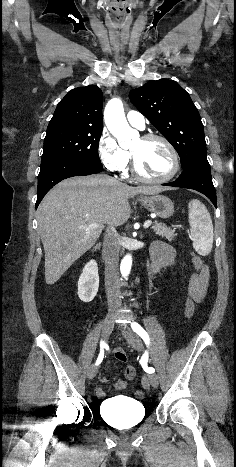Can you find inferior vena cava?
Masks as SVG:
<instances>
[{
    "label": "inferior vena cava",
    "instance_id": "inferior-vena-cava-1",
    "mask_svg": "<svg viewBox=\"0 0 236 467\" xmlns=\"http://www.w3.org/2000/svg\"><path fill=\"white\" fill-rule=\"evenodd\" d=\"M119 235L114 226L106 231L103 241V258L105 263V288L110 307H119Z\"/></svg>",
    "mask_w": 236,
    "mask_h": 467
}]
</instances>
